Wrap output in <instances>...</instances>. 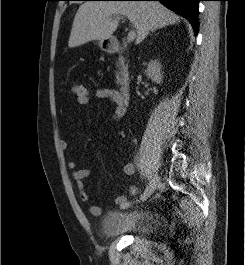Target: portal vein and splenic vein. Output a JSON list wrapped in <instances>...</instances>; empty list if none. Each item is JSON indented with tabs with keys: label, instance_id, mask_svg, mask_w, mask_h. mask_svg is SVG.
<instances>
[{
	"label": "portal vein and splenic vein",
	"instance_id": "18ae733b",
	"mask_svg": "<svg viewBox=\"0 0 245 265\" xmlns=\"http://www.w3.org/2000/svg\"><path fill=\"white\" fill-rule=\"evenodd\" d=\"M135 38H136V33L133 30H130L127 36V42L130 43L134 41Z\"/></svg>",
	"mask_w": 245,
	"mask_h": 265
}]
</instances>
